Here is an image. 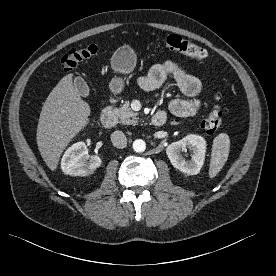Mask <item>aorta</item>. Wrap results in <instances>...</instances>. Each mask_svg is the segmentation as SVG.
Here are the masks:
<instances>
[{
	"label": "aorta",
	"mask_w": 276,
	"mask_h": 276,
	"mask_svg": "<svg viewBox=\"0 0 276 276\" xmlns=\"http://www.w3.org/2000/svg\"><path fill=\"white\" fill-rule=\"evenodd\" d=\"M133 149L135 152L137 153H142L145 151L146 149V143L144 140L142 139H136L134 142H133Z\"/></svg>",
	"instance_id": "aorta-1"
}]
</instances>
